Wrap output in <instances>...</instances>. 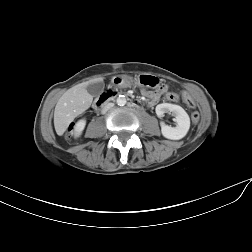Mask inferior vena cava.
Instances as JSON below:
<instances>
[{
	"label": "inferior vena cava",
	"instance_id": "obj_1",
	"mask_svg": "<svg viewBox=\"0 0 252 252\" xmlns=\"http://www.w3.org/2000/svg\"><path fill=\"white\" fill-rule=\"evenodd\" d=\"M114 106L113 103H108L104 106V111H107L108 109L112 108Z\"/></svg>",
	"mask_w": 252,
	"mask_h": 252
}]
</instances>
